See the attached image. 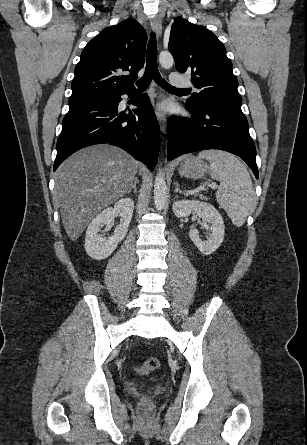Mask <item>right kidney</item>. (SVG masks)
I'll list each match as a JSON object with an SVG mask.
<instances>
[{"mask_svg": "<svg viewBox=\"0 0 307 445\" xmlns=\"http://www.w3.org/2000/svg\"><path fill=\"white\" fill-rule=\"evenodd\" d=\"M133 210L134 200H132V198H120V200L115 202L114 208L108 206V208H105V210H102L100 214H97V216L93 218L92 223H90L86 231L85 239V251L91 259L101 261V259H107V257L115 251L118 243L123 241L127 235ZM115 212H120L123 223L117 225L114 235H112L108 241H104L103 235H98L100 231L99 227H102V225L111 227Z\"/></svg>", "mask_w": 307, "mask_h": 445, "instance_id": "right-kidney-1", "label": "right kidney"}]
</instances>
